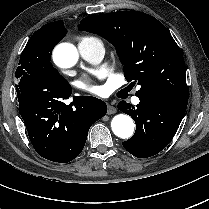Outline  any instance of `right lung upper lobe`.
Listing matches in <instances>:
<instances>
[{"instance_id":"1","label":"right lung upper lobe","mask_w":209,"mask_h":209,"mask_svg":"<svg viewBox=\"0 0 209 209\" xmlns=\"http://www.w3.org/2000/svg\"><path fill=\"white\" fill-rule=\"evenodd\" d=\"M44 30H54L57 31L60 35H62L63 37L66 35L67 30L64 27V23L62 20L56 21V22H51L48 23L46 25H44L43 27H41ZM40 28V29H41Z\"/></svg>"}]
</instances>
